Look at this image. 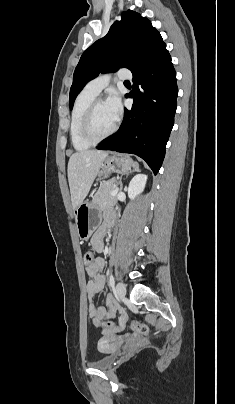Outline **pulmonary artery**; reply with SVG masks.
<instances>
[{"mask_svg":"<svg viewBox=\"0 0 235 404\" xmlns=\"http://www.w3.org/2000/svg\"><path fill=\"white\" fill-rule=\"evenodd\" d=\"M111 76H112L111 74H104V75L98 76L97 78L88 82L85 85L84 90L88 93H91V94L97 96L109 84ZM117 77L119 79L129 80L132 78V73L127 68L120 69L117 72Z\"/></svg>","mask_w":235,"mask_h":404,"instance_id":"obj_1","label":"pulmonary artery"}]
</instances>
